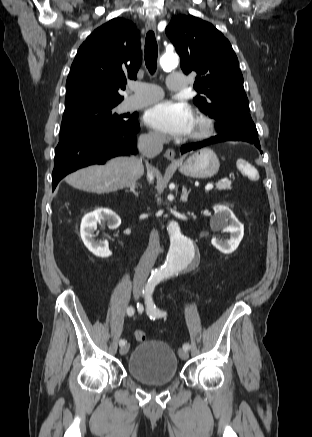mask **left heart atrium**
Here are the masks:
<instances>
[{"instance_id": "obj_1", "label": "left heart atrium", "mask_w": 312, "mask_h": 437, "mask_svg": "<svg viewBox=\"0 0 312 437\" xmlns=\"http://www.w3.org/2000/svg\"><path fill=\"white\" fill-rule=\"evenodd\" d=\"M145 122L159 132L172 136H185L194 128L191 109L184 103L163 101L145 114Z\"/></svg>"}]
</instances>
